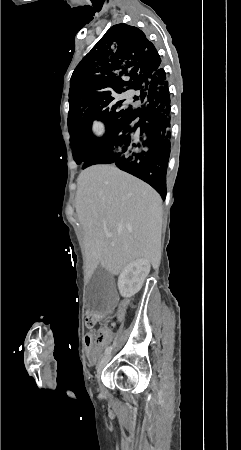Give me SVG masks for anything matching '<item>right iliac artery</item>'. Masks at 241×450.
Instances as JSON below:
<instances>
[{
  "mask_svg": "<svg viewBox=\"0 0 241 450\" xmlns=\"http://www.w3.org/2000/svg\"><path fill=\"white\" fill-rule=\"evenodd\" d=\"M111 350H112V346L107 347L105 350V355H108L111 352Z\"/></svg>",
  "mask_w": 241,
  "mask_h": 450,
  "instance_id": "obj_1",
  "label": "right iliac artery"
}]
</instances>
